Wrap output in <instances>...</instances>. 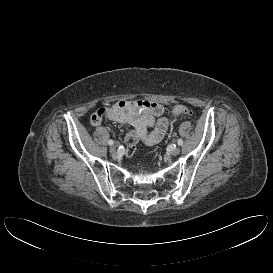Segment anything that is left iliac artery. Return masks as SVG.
<instances>
[{
  "instance_id": "left-iliac-artery-1",
  "label": "left iliac artery",
  "mask_w": 273,
  "mask_h": 273,
  "mask_svg": "<svg viewBox=\"0 0 273 273\" xmlns=\"http://www.w3.org/2000/svg\"><path fill=\"white\" fill-rule=\"evenodd\" d=\"M177 143H178V145H183V140L182 139H178V141H177Z\"/></svg>"
}]
</instances>
